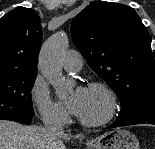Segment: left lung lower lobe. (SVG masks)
<instances>
[{"instance_id": "0a47b994", "label": "left lung lower lobe", "mask_w": 155, "mask_h": 149, "mask_svg": "<svg viewBox=\"0 0 155 149\" xmlns=\"http://www.w3.org/2000/svg\"><path fill=\"white\" fill-rule=\"evenodd\" d=\"M145 123L155 124V93L149 94L134 107L122 109L117 120L107 129Z\"/></svg>"}]
</instances>
